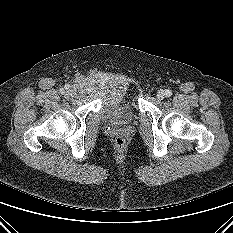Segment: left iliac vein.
I'll return each mask as SVG.
<instances>
[{"mask_svg": "<svg viewBox=\"0 0 233 233\" xmlns=\"http://www.w3.org/2000/svg\"><path fill=\"white\" fill-rule=\"evenodd\" d=\"M165 97V91L164 90H159L157 92V98L158 99H163Z\"/></svg>", "mask_w": 233, "mask_h": 233, "instance_id": "obj_1", "label": "left iliac vein"}]
</instances>
